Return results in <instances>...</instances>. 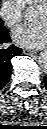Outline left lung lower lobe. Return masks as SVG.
I'll return each mask as SVG.
<instances>
[{
  "label": "left lung lower lobe",
  "mask_w": 47,
  "mask_h": 129,
  "mask_svg": "<svg viewBox=\"0 0 47 129\" xmlns=\"http://www.w3.org/2000/svg\"><path fill=\"white\" fill-rule=\"evenodd\" d=\"M44 83H45V86L47 88V76L44 77Z\"/></svg>",
  "instance_id": "1"
}]
</instances>
